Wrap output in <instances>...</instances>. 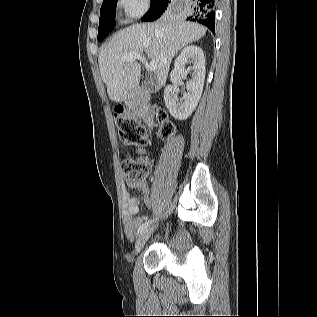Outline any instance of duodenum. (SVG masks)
Instances as JSON below:
<instances>
[{
    "label": "duodenum",
    "instance_id": "duodenum-1",
    "mask_svg": "<svg viewBox=\"0 0 317 317\" xmlns=\"http://www.w3.org/2000/svg\"><path fill=\"white\" fill-rule=\"evenodd\" d=\"M127 109H128V113L130 115H133L135 113V111H137V113L144 118L145 120H147L149 122L150 125H152V120H151V115L148 111V106L149 103L148 101L145 100H129L127 102Z\"/></svg>",
    "mask_w": 317,
    "mask_h": 317
}]
</instances>
